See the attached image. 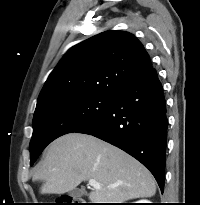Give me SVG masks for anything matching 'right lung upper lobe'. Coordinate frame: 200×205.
<instances>
[{
    "mask_svg": "<svg viewBox=\"0 0 200 205\" xmlns=\"http://www.w3.org/2000/svg\"><path fill=\"white\" fill-rule=\"evenodd\" d=\"M151 69L148 53L131 33H100L68 50L49 75L34 114L72 97H115Z\"/></svg>",
    "mask_w": 200,
    "mask_h": 205,
    "instance_id": "cb5924a9",
    "label": "right lung upper lobe"
}]
</instances>
